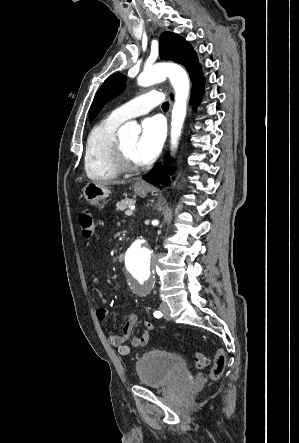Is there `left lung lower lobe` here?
Here are the masks:
<instances>
[{
  "mask_svg": "<svg viewBox=\"0 0 299 443\" xmlns=\"http://www.w3.org/2000/svg\"><path fill=\"white\" fill-rule=\"evenodd\" d=\"M191 80L193 84V100L194 102H197L201 98L204 85L201 67H199L191 76ZM169 165V159L166 161L165 167H163L161 164L156 165L148 174L143 176V179L153 184L159 185L162 183L163 185H167L165 174L167 171L168 173L171 172Z\"/></svg>",
  "mask_w": 299,
  "mask_h": 443,
  "instance_id": "left-lung-lower-lobe-1",
  "label": "left lung lower lobe"
}]
</instances>
